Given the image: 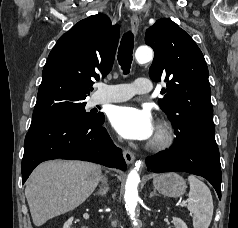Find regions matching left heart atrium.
I'll return each instance as SVG.
<instances>
[{
  "label": "left heart atrium",
  "instance_id": "1",
  "mask_svg": "<svg viewBox=\"0 0 238 228\" xmlns=\"http://www.w3.org/2000/svg\"><path fill=\"white\" fill-rule=\"evenodd\" d=\"M109 118L113 128L125 139L143 141L154 134V121L148 110L130 105L117 106Z\"/></svg>",
  "mask_w": 238,
  "mask_h": 228
}]
</instances>
